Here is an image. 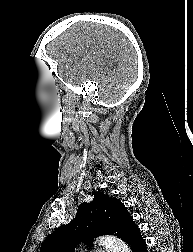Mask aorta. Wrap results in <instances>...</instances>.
<instances>
[{
	"mask_svg": "<svg viewBox=\"0 0 193 252\" xmlns=\"http://www.w3.org/2000/svg\"><path fill=\"white\" fill-rule=\"evenodd\" d=\"M97 243L106 249V252H130L128 245L113 236H103Z\"/></svg>",
	"mask_w": 193,
	"mask_h": 252,
	"instance_id": "aorta-1",
	"label": "aorta"
}]
</instances>
